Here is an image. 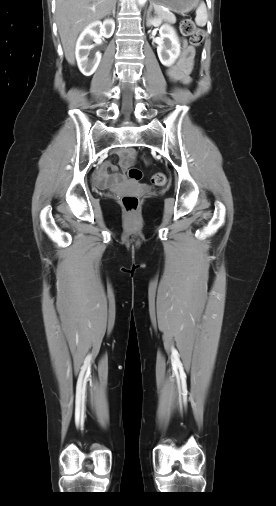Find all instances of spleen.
Masks as SVG:
<instances>
[{"label":"spleen","instance_id":"1","mask_svg":"<svg viewBox=\"0 0 276 506\" xmlns=\"http://www.w3.org/2000/svg\"><path fill=\"white\" fill-rule=\"evenodd\" d=\"M195 22L198 26L204 27L207 22V9L204 2H201L196 10Z\"/></svg>","mask_w":276,"mask_h":506}]
</instances>
